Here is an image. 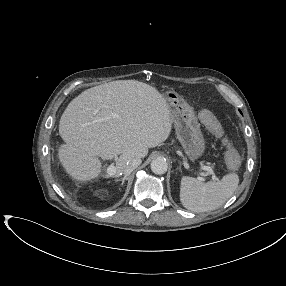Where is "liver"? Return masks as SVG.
I'll list each match as a JSON object with an SVG mask.
<instances>
[{"instance_id":"obj_1","label":"liver","mask_w":286,"mask_h":286,"mask_svg":"<svg viewBox=\"0 0 286 286\" xmlns=\"http://www.w3.org/2000/svg\"><path fill=\"white\" fill-rule=\"evenodd\" d=\"M172 119L164 95L137 80H117L89 88L75 97L59 121L65 144L58 158L77 181L101 172L102 159L118 155L116 173L130 158H144L170 135Z\"/></svg>"}]
</instances>
